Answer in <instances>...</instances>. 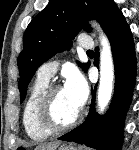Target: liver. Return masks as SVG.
Returning <instances> with one entry per match:
<instances>
[{"label":"liver","mask_w":139,"mask_h":150,"mask_svg":"<svg viewBox=\"0 0 139 150\" xmlns=\"http://www.w3.org/2000/svg\"><path fill=\"white\" fill-rule=\"evenodd\" d=\"M58 142H50L46 144H41L35 148V150H56L58 147Z\"/></svg>","instance_id":"liver-1"}]
</instances>
